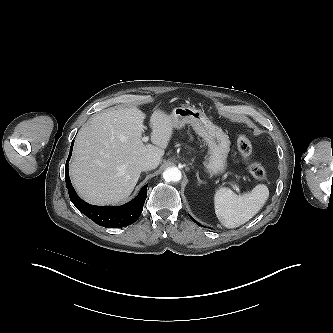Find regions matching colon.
Returning <instances> with one entry per match:
<instances>
[{
	"label": "colon",
	"instance_id": "colon-1",
	"mask_svg": "<svg viewBox=\"0 0 333 333\" xmlns=\"http://www.w3.org/2000/svg\"><path fill=\"white\" fill-rule=\"evenodd\" d=\"M237 148L243 158L247 163V168L252 177L258 180H262L266 176V170L264 166L258 162L251 161L252 155V144L250 140L245 135H239L237 139Z\"/></svg>",
	"mask_w": 333,
	"mask_h": 333
}]
</instances>
